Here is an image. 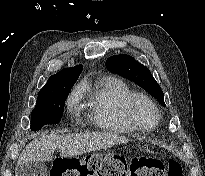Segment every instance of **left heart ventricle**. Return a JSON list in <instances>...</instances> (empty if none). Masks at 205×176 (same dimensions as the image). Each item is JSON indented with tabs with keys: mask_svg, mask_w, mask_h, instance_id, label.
<instances>
[{
	"mask_svg": "<svg viewBox=\"0 0 205 176\" xmlns=\"http://www.w3.org/2000/svg\"><path fill=\"white\" fill-rule=\"evenodd\" d=\"M135 117L142 125L150 126L156 122L154 111L144 102H139L135 107Z\"/></svg>",
	"mask_w": 205,
	"mask_h": 176,
	"instance_id": "obj_1",
	"label": "left heart ventricle"
}]
</instances>
